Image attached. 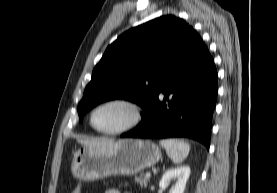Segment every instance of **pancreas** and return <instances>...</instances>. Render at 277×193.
<instances>
[{
	"instance_id": "obj_1",
	"label": "pancreas",
	"mask_w": 277,
	"mask_h": 193,
	"mask_svg": "<svg viewBox=\"0 0 277 193\" xmlns=\"http://www.w3.org/2000/svg\"><path fill=\"white\" fill-rule=\"evenodd\" d=\"M135 182L139 183L141 186L147 187L148 178L143 177L142 175L135 177Z\"/></svg>"
}]
</instances>
